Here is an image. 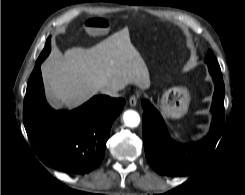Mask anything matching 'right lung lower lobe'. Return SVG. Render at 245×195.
<instances>
[{
    "label": "right lung lower lobe",
    "instance_id": "98d812e1",
    "mask_svg": "<svg viewBox=\"0 0 245 195\" xmlns=\"http://www.w3.org/2000/svg\"><path fill=\"white\" fill-rule=\"evenodd\" d=\"M50 46V38L46 41ZM38 59L24 99V126L36 155L47 166L85 174L102 161L115 118L125 100L94 96L73 111H55L46 102Z\"/></svg>",
    "mask_w": 245,
    "mask_h": 195
}]
</instances>
